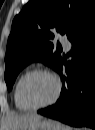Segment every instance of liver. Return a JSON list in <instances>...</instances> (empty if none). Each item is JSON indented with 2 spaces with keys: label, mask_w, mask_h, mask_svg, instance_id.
I'll return each instance as SVG.
<instances>
[{
  "label": "liver",
  "mask_w": 95,
  "mask_h": 130,
  "mask_svg": "<svg viewBox=\"0 0 95 130\" xmlns=\"http://www.w3.org/2000/svg\"><path fill=\"white\" fill-rule=\"evenodd\" d=\"M40 119L41 116L35 113L10 114L6 116L5 127L6 130H27L31 123Z\"/></svg>",
  "instance_id": "obj_1"
}]
</instances>
